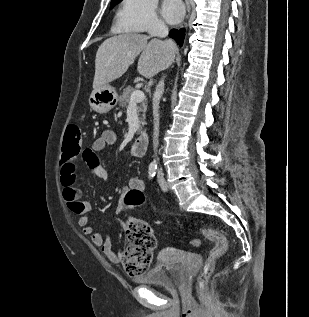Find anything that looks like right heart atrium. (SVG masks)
<instances>
[{
  "mask_svg": "<svg viewBox=\"0 0 309 317\" xmlns=\"http://www.w3.org/2000/svg\"><path fill=\"white\" fill-rule=\"evenodd\" d=\"M118 22L130 32H154L164 28L157 12V0H123Z\"/></svg>",
  "mask_w": 309,
  "mask_h": 317,
  "instance_id": "obj_1",
  "label": "right heart atrium"
}]
</instances>
